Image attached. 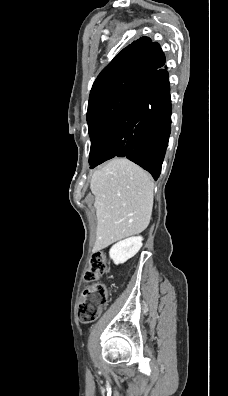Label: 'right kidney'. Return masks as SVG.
I'll return each mask as SVG.
<instances>
[{"instance_id": "1", "label": "right kidney", "mask_w": 228, "mask_h": 396, "mask_svg": "<svg viewBox=\"0 0 228 396\" xmlns=\"http://www.w3.org/2000/svg\"><path fill=\"white\" fill-rule=\"evenodd\" d=\"M141 236L127 238L114 244L109 252L110 258L115 264H123L134 257L142 247Z\"/></svg>"}]
</instances>
